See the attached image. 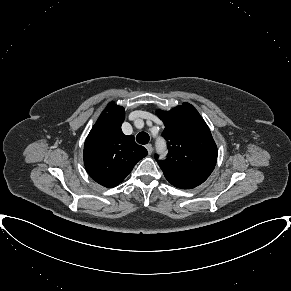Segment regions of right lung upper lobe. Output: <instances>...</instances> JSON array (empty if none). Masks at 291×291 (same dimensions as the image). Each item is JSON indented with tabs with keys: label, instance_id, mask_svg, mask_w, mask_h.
Returning a JSON list of instances; mask_svg holds the SVG:
<instances>
[{
	"label": "right lung upper lobe",
	"instance_id": "cb5924a9",
	"mask_svg": "<svg viewBox=\"0 0 291 291\" xmlns=\"http://www.w3.org/2000/svg\"><path fill=\"white\" fill-rule=\"evenodd\" d=\"M124 108L110 103L91 129L84 145V164L97 183L112 188L120 184L147 150L121 130Z\"/></svg>",
	"mask_w": 291,
	"mask_h": 291
}]
</instances>
